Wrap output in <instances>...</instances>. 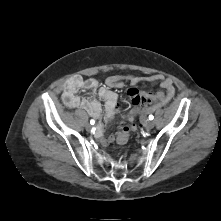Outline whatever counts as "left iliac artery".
Instances as JSON below:
<instances>
[{
	"mask_svg": "<svg viewBox=\"0 0 221 221\" xmlns=\"http://www.w3.org/2000/svg\"><path fill=\"white\" fill-rule=\"evenodd\" d=\"M154 119V116L151 114L149 115V120H153Z\"/></svg>",
	"mask_w": 221,
	"mask_h": 221,
	"instance_id": "left-iliac-artery-1",
	"label": "left iliac artery"
}]
</instances>
